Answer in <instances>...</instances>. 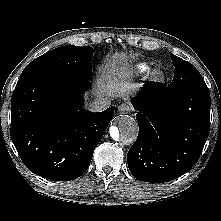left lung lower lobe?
<instances>
[{
	"instance_id": "0a47b994",
	"label": "left lung lower lobe",
	"mask_w": 221,
	"mask_h": 221,
	"mask_svg": "<svg viewBox=\"0 0 221 221\" xmlns=\"http://www.w3.org/2000/svg\"><path fill=\"white\" fill-rule=\"evenodd\" d=\"M139 134L127 154L132 175L167 182L190 170L209 135L210 93L206 85L172 90L146 81L132 100Z\"/></svg>"
}]
</instances>
